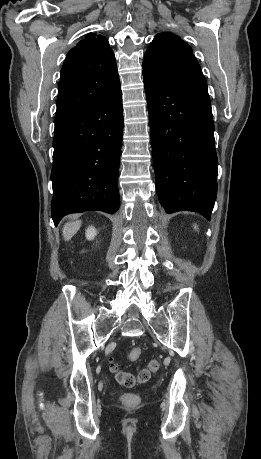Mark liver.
<instances>
[{
  "mask_svg": "<svg viewBox=\"0 0 261 459\" xmlns=\"http://www.w3.org/2000/svg\"><path fill=\"white\" fill-rule=\"evenodd\" d=\"M81 224V220H77L64 226L63 237L65 241H69L74 236V234L80 229Z\"/></svg>",
  "mask_w": 261,
  "mask_h": 459,
  "instance_id": "1",
  "label": "liver"
}]
</instances>
